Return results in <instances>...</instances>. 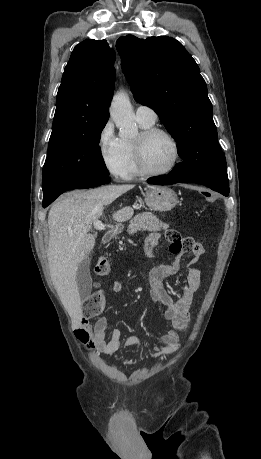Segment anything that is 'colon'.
I'll list each match as a JSON object with an SVG mask.
<instances>
[{
	"label": "colon",
	"instance_id": "obj_1",
	"mask_svg": "<svg viewBox=\"0 0 261 459\" xmlns=\"http://www.w3.org/2000/svg\"><path fill=\"white\" fill-rule=\"evenodd\" d=\"M198 197H205L208 201H214L215 188H198ZM167 237H172L171 230L166 232ZM94 271L98 275H108L112 271V264L106 257H100L95 266ZM105 304V297L100 292L93 293L85 304V314L87 317L96 316Z\"/></svg>",
	"mask_w": 261,
	"mask_h": 459
}]
</instances>
